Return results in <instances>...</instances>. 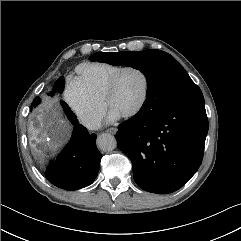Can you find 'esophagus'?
Returning a JSON list of instances; mask_svg holds the SVG:
<instances>
[{"instance_id":"34e87169","label":"esophagus","mask_w":241,"mask_h":241,"mask_svg":"<svg viewBox=\"0 0 241 241\" xmlns=\"http://www.w3.org/2000/svg\"><path fill=\"white\" fill-rule=\"evenodd\" d=\"M116 131H117L116 128H110V129L106 130V132H107V133H110V134H115Z\"/></svg>"}]
</instances>
